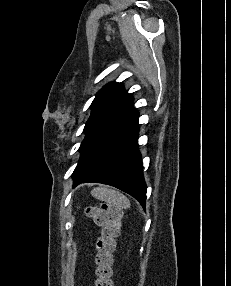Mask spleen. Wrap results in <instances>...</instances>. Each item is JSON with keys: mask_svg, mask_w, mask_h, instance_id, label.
I'll return each instance as SVG.
<instances>
[{"mask_svg": "<svg viewBox=\"0 0 231 286\" xmlns=\"http://www.w3.org/2000/svg\"><path fill=\"white\" fill-rule=\"evenodd\" d=\"M91 194L96 199L105 201L115 207L127 209L131 206L130 200L125 195L114 189L96 187L92 190Z\"/></svg>", "mask_w": 231, "mask_h": 286, "instance_id": "obj_1", "label": "spleen"}]
</instances>
